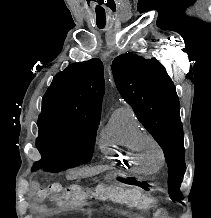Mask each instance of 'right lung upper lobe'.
<instances>
[{"instance_id":"1","label":"right lung upper lobe","mask_w":211,"mask_h":218,"mask_svg":"<svg viewBox=\"0 0 211 218\" xmlns=\"http://www.w3.org/2000/svg\"><path fill=\"white\" fill-rule=\"evenodd\" d=\"M103 94L100 59L73 63L54 77L42 99V112L100 118Z\"/></svg>"}]
</instances>
